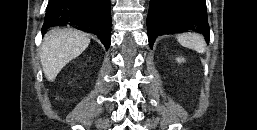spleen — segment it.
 <instances>
[{
    "label": "spleen",
    "mask_w": 257,
    "mask_h": 130,
    "mask_svg": "<svg viewBox=\"0 0 257 130\" xmlns=\"http://www.w3.org/2000/svg\"><path fill=\"white\" fill-rule=\"evenodd\" d=\"M178 42L187 48L193 49L199 53H204L206 50V43L204 38L196 33H185L177 36Z\"/></svg>",
    "instance_id": "spleen-1"
}]
</instances>
